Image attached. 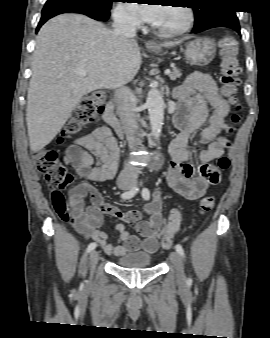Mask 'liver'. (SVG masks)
Segmentation results:
<instances>
[{
  "mask_svg": "<svg viewBox=\"0 0 270 338\" xmlns=\"http://www.w3.org/2000/svg\"><path fill=\"white\" fill-rule=\"evenodd\" d=\"M141 63L137 41L116 36L102 23L78 14L50 19L40 29L33 53L26 109L31 151L56 137L84 95L132 81ZM78 68L87 75H77Z\"/></svg>",
  "mask_w": 270,
  "mask_h": 338,
  "instance_id": "liver-1",
  "label": "liver"
}]
</instances>
